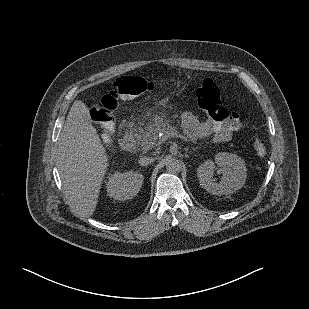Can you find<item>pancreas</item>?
Here are the masks:
<instances>
[{
	"label": "pancreas",
	"mask_w": 309,
	"mask_h": 309,
	"mask_svg": "<svg viewBox=\"0 0 309 309\" xmlns=\"http://www.w3.org/2000/svg\"><path fill=\"white\" fill-rule=\"evenodd\" d=\"M160 129L151 128L147 131L141 132L137 141L144 150H158L163 140L158 137Z\"/></svg>",
	"instance_id": "obj_1"
}]
</instances>
